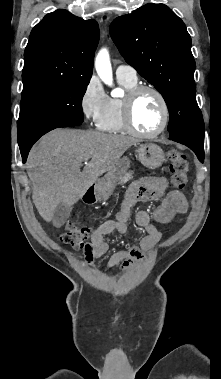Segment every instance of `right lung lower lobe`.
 <instances>
[{
    "instance_id": "98d812e1",
    "label": "right lung lower lobe",
    "mask_w": 221,
    "mask_h": 379,
    "mask_svg": "<svg viewBox=\"0 0 221 379\" xmlns=\"http://www.w3.org/2000/svg\"><path fill=\"white\" fill-rule=\"evenodd\" d=\"M38 140V139H37ZM36 139H33L32 141H25V142H18L20 147V152L22 155L23 162L26 161L28 153L32 145L37 141Z\"/></svg>"
}]
</instances>
